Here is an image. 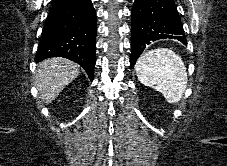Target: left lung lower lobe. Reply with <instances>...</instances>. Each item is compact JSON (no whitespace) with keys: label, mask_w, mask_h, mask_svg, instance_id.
Returning <instances> with one entry per match:
<instances>
[{"label":"left lung lower lobe","mask_w":227,"mask_h":166,"mask_svg":"<svg viewBox=\"0 0 227 166\" xmlns=\"http://www.w3.org/2000/svg\"><path fill=\"white\" fill-rule=\"evenodd\" d=\"M131 32V68L151 41L169 38L187 44L174 0H135Z\"/></svg>","instance_id":"1"}]
</instances>
